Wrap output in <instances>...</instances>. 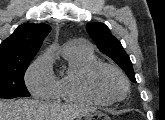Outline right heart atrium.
I'll list each match as a JSON object with an SVG mask.
<instances>
[{"mask_svg":"<svg viewBox=\"0 0 165 120\" xmlns=\"http://www.w3.org/2000/svg\"><path fill=\"white\" fill-rule=\"evenodd\" d=\"M25 81L30 92L36 97L52 98L54 96L57 78L53 74L48 55H41L30 65Z\"/></svg>","mask_w":165,"mask_h":120,"instance_id":"right-heart-atrium-1","label":"right heart atrium"}]
</instances>
